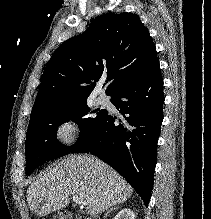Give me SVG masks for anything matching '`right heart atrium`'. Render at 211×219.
<instances>
[{"instance_id":"right-heart-atrium-1","label":"right heart atrium","mask_w":211,"mask_h":219,"mask_svg":"<svg viewBox=\"0 0 211 219\" xmlns=\"http://www.w3.org/2000/svg\"><path fill=\"white\" fill-rule=\"evenodd\" d=\"M82 133L81 124L72 116L58 120L53 128L54 141L64 147L75 145Z\"/></svg>"}]
</instances>
